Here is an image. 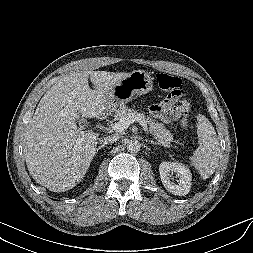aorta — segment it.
<instances>
[{
	"mask_svg": "<svg viewBox=\"0 0 253 253\" xmlns=\"http://www.w3.org/2000/svg\"><path fill=\"white\" fill-rule=\"evenodd\" d=\"M140 148H141V145H140L139 141L136 139L129 140L127 142V150L130 153H137L140 150Z\"/></svg>",
	"mask_w": 253,
	"mask_h": 253,
	"instance_id": "1",
	"label": "aorta"
}]
</instances>
